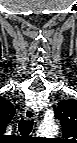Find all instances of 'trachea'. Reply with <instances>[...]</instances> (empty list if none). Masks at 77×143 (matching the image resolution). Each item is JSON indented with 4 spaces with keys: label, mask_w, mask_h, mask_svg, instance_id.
Masks as SVG:
<instances>
[{
    "label": "trachea",
    "mask_w": 77,
    "mask_h": 143,
    "mask_svg": "<svg viewBox=\"0 0 77 143\" xmlns=\"http://www.w3.org/2000/svg\"><path fill=\"white\" fill-rule=\"evenodd\" d=\"M33 120H26L22 118L19 122L18 129L22 136H27L32 131Z\"/></svg>",
    "instance_id": "3493384b"
}]
</instances>
